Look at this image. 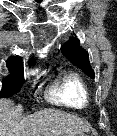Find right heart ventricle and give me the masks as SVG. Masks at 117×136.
I'll return each instance as SVG.
<instances>
[{
	"label": "right heart ventricle",
	"mask_w": 117,
	"mask_h": 136,
	"mask_svg": "<svg viewBox=\"0 0 117 136\" xmlns=\"http://www.w3.org/2000/svg\"><path fill=\"white\" fill-rule=\"evenodd\" d=\"M47 98L58 105L83 109L90 101V94L86 83L80 76L66 73L51 84Z\"/></svg>",
	"instance_id": "1"
}]
</instances>
